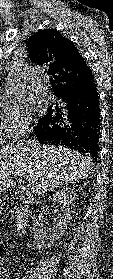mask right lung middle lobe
Listing matches in <instances>:
<instances>
[{
	"label": "right lung middle lobe",
	"instance_id": "dd1d6c3e",
	"mask_svg": "<svg viewBox=\"0 0 113 279\" xmlns=\"http://www.w3.org/2000/svg\"><path fill=\"white\" fill-rule=\"evenodd\" d=\"M45 116H46V115H45ZM45 116H44V117H45ZM44 117L40 118V119L38 120V123H40V122L44 119ZM38 123H37V124H38Z\"/></svg>",
	"mask_w": 113,
	"mask_h": 279
}]
</instances>
